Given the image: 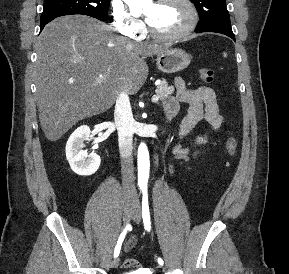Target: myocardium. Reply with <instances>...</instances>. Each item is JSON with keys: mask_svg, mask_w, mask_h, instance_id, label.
<instances>
[{"mask_svg": "<svg viewBox=\"0 0 289 274\" xmlns=\"http://www.w3.org/2000/svg\"><path fill=\"white\" fill-rule=\"evenodd\" d=\"M169 0H157V4L168 2ZM188 9L189 19L187 24L180 31L173 34H162L153 29V27L147 22V32L151 37L160 41H178L187 37L195 29L198 21V10L192 0H180Z\"/></svg>", "mask_w": 289, "mask_h": 274, "instance_id": "obj_1", "label": "myocardium"}]
</instances>
